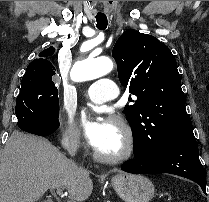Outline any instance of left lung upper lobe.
<instances>
[{"label": "left lung upper lobe", "instance_id": "obj_1", "mask_svg": "<svg viewBox=\"0 0 209 202\" xmlns=\"http://www.w3.org/2000/svg\"><path fill=\"white\" fill-rule=\"evenodd\" d=\"M112 56L123 86L137 99L129 98L123 113L130 123L134 145L151 151L192 131L185 109V96L174 55L157 38L126 30L117 40Z\"/></svg>", "mask_w": 209, "mask_h": 202}]
</instances>
